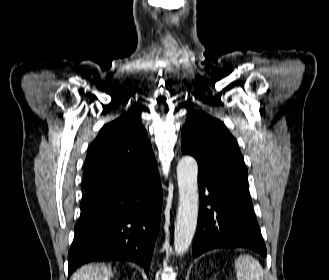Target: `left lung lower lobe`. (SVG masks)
Here are the masks:
<instances>
[{"label":"left lung lower lobe","mask_w":329,"mask_h":280,"mask_svg":"<svg viewBox=\"0 0 329 280\" xmlns=\"http://www.w3.org/2000/svg\"><path fill=\"white\" fill-rule=\"evenodd\" d=\"M199 195L201 203L192 248L194 257L218 248H248L266 257V246L247 185L221 193L200 187Z\"/></svg>","instance_id":"left-lung-lower-lobe-1"}]
</instances>
